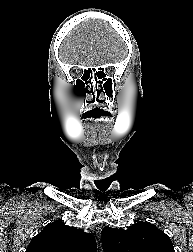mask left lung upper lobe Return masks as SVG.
Wrapping results in <instances>:
<instances>
[{
	"label": "left lung upper lobe",
	"mask_w": 193,
	"mask_h": 252,
	"mask_svg": "<svg viewBox=\"0 0 193 252\" xmlns=\"http://www.w3.org/2000/svg\"><path fill=\"white\" fill-rule=\"evenodd\" d=\"M102 241L104 252H175L168 235L142 221L127 230L106 226Z\"/></svg>",
	"instance_id": "left-lung-upper-lobe-1"
}]
</instances>
